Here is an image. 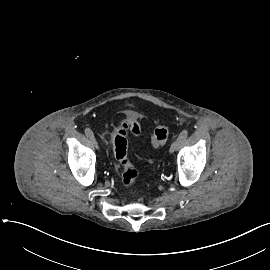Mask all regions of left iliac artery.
Here are the masks:
<instances>
[{
    "label": "left iliac artery",
    "instance_id": "obj_1",
    "mask_svg": "<svg viewBox=\"0 0 270 270\" xmlns=\"http://www.w3.org/2000/svg\"><path fill=\"white\" fill-rule=\"evenodd\" d=\"M187 136H188V131H187V130H183V131L180 133V135H179V137H178V140H179L180 144L183 143V142L185 141V139L187 138Z\"/></svg>",
    "mask_w": 270,
    "mask_h": 270
}]
</instances>
